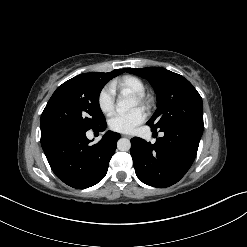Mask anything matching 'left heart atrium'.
I'll use <instances>...</instances> for the list:
<instances>
[{
  "label": "left heart atrium",
  "instance_id": "left-heart-atrium-1",
  "mask_svg": "<svg viewBox=\"0 0 247 247\" xmlns=\"http://www.w3.org/2000/svg\"><path fill=\"white\" fill-rule=\"evenodd\" d=\"M146 115L140 108L126 113H117L109 120V127L116 132L130 133L145 121Z\"/></svg>",
  "mask_w": 247,
  "mask_h": 247
}]
</instances>
